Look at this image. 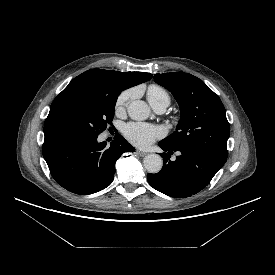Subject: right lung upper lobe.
Returning a JSON list of instances; mask_svg holds the SVG:
<instances>
[{
	"mask_svg": "<svg viewBox=\"0 0 275 275\" xmlns=\"http://www.w3.org/2000/svg\"><path fill=\"white\" fill-rule=\"evenodd\" d=\"M152 78V74L144 72H119L103 69H91L75 77L63 90L67 91L78 87H107L122 90L146 82Z\"/></svg>",
	"mask_w": 275,
	"mask_h": 275,
	"instance_id": "cb5924a9",
	"label": "right lung upper lobe"
}]
</instances>
